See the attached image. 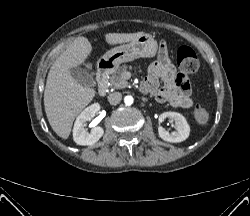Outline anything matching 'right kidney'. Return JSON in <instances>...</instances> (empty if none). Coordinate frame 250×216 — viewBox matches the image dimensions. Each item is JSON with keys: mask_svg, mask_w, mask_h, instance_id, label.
Returning a JSON list of instances; mask_svg holds the SVG:
<instances>
[{"mask_svg": "<svg viewBox=\"0 0 250 216\" xmlns=\"http://www.w3.org/2000/svg\"><path fill=\"white\" fill-rule=\"evenodd\" d=\"M99 109L100 105L94 103L88 106L77 117L73 127V140L78 145H92L103 136L104 129L102 127H94L90 132L84 128L85 123L90 121L98 113Z\"/></svg>", "mask_w": 250, "mask_h": 216, "instance_id": "right-kidney-1", "label": "right kidney"}]
</instances>
